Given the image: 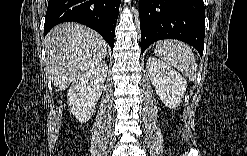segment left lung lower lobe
Returning a JSON list of instances; mask_svg holds the SVG:
<instances>
[{"instance_id":"1","label":"left lung lower lobe","mask_w":247,"mask_h":156,"mask_svg":"<svg viewBox=\"0 0 247 156\" xmlns=\"http://www.w3.org/2000/svg\"><path fill=\"white\" fill-rule=\"evenodd\" d=\"M141 53L153 42L178 39L202 57L205 36L203 0H140Z\"/></svg>"}]
</instances>
